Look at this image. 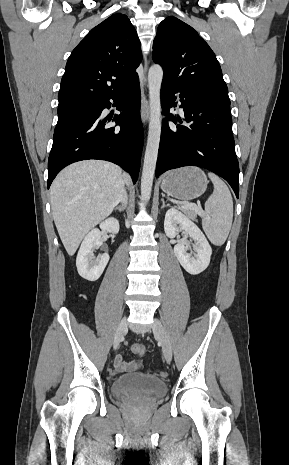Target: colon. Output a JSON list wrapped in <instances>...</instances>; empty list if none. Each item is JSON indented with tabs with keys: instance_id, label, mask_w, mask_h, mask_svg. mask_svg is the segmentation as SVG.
I'll return each mask as SVG.
<instances>
[{
	"instance_id": "1",
	"label": "colon",
	"mask_w": 289,
	"mask_h": 465,
	"mask_svg": "<svg viewBox=\"0 0 289 465\" xmlns=\"http://www.w3.org/2000/svg\"><path fill=\"white\" fill-rule=\"evenodd\" d=\"M132 351L134 353L140 354L144 351V346L142 344H134L132 346Z\"/></svg>"
}]
</instances>
